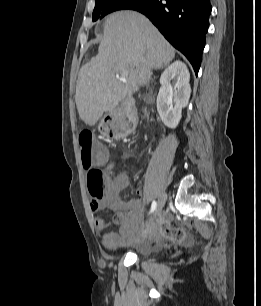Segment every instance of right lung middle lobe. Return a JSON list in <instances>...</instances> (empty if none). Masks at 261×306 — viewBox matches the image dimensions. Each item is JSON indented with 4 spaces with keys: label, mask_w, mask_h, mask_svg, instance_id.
Masks as SVG:
<instances>
[{
    "label": "right lung middle lobe",
    "mask_w": 261,
    "mask_h": 306,
    "mask_svg": "<svg viewBox=\"0 0 261 306\" xmlns=\"http://www.w3.org/2000/svg\"><path fill=\"white\" fill-rule=\"evenodd\" d=\"M141 0H95V8L92 14L93 21L105 15L121 9H130Z\"/></svg>",
    "instance_id": "dd1d6c3e"
}]
</instances>
